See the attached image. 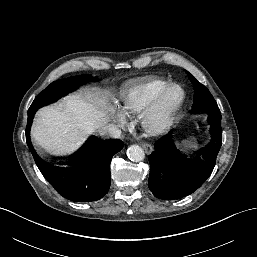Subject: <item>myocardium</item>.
<instances>
[{"instance_id": "f54148a6", "label": "myocardium", "mask_w": 257, "mask_h": 257, "mask_svg": "<svg viewBox=\"0 0 257 257\" xmlns=\"http://www.w3.org/2000/svg\"><path fill=\"white\" fill-rule=\"evenodd\" d=\"M173 88H178L181 95L176 103L168 105L166 103V96ZM185 98V90L180 84H166L142 114L141 127L146 135L155 137L165 133L171 126L176 114L183 106Z\"/></svg>"}]
</instances>
